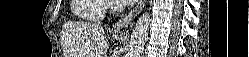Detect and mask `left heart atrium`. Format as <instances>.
Here are the masks:
<instances>
[{"mask_svg": "<svg viewBox=\"0 0 249 57\" xmlns=\"http://www.w3.org/2000/svg\"><path fill=\"white\" fill-rule=\"evenodd\" d=\"M120 2L127 3V2H130V0H120Z\"/></svg>", "mask_w": 249, "mask_h": 57, "instance_id": "39dd6f15", "label": "left heart atrium"}]
</instances>
